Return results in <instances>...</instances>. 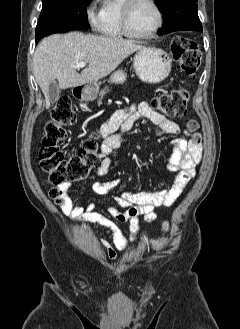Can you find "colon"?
Segmentation results:
<instances>
[{
  "instance_id": "obj_1",
  "label": "colon",
  "mask_w": 240,
  "mask_h": 329,
  "mask_svg": "<svg viewBox=\"0 0 240 329\" xmlns=\"http://www.w3.org/2000/svg\"><path fill=\"white\" fill-rule=\"evenodd\" d=\"M172 54L184 74L195 76L201 64L202 52L193 39L181 35L175 36L172 41ZM189 99V91L186 88H178L158 95L152 100L151 105L152 108L163 111L169 117H182L186 114ZM75 119L76 115L70 98L66 95L61 96L53 108L52 119L45 126V134L39 151L40 165L53 184L83 181L98 165L96 135L85 139L78 152L72 156L67 157L60 150L59 145L66 137V127L72 125ZM187 128L192 133L191 142L200 145L202 137L197 131V123L190 120ZM51 198L58 206L65 205L66 194L61 190H53ZM163 228L168 231L169 223L165 222ZM166 243L165 236L151 241L155 249L164 247Z\"/></svg>"
}]
</instances>
